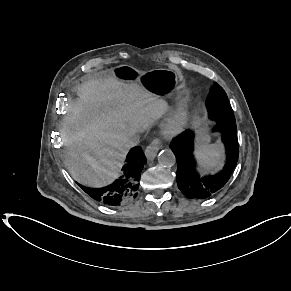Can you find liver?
I'll use <instances>...</instances> for the list:
<instances>
[{"mask_svg": "<svg viewBox=\"0 0 291 291\" xmlns=\"http://www.w3.org/2000/svg\"><path fill=\"white\" fill-rule=\"evenodd\" d=\"M69 103L61 130L65 163L83 185L101 187L119 176L129 146L167 110L166 102L113 70L88 77Z\"/></svg>", "mask_w": 291, "mask_h": 291, "instance_id": "obj_1", "label": "liver"}]
</instances>
